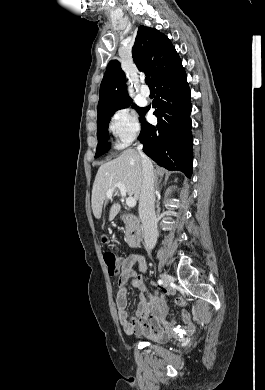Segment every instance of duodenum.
<instances>
[{
  "mask_svg": "<svg viewBox=\"0 0 265 390\" xmlns=\"http://www.w3.org/2000/svg\"><path fill=\"white\" fill-rule=\"evenodd\" d=\"M123 223L126 226L127 245L131 248L139 247L142 243L143 236L140 231L138 218L133 214H123L121 216Z\"/></svg>",
  "mask_w": 265,
  "mask_h": 390,
  "instance_id": "obj_1",
  "label": "duodenum"
}]
</instances>
